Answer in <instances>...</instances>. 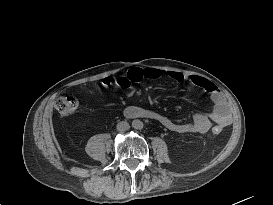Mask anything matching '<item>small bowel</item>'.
Masks as SVG:
<instances>
[{"instance_id": "1", "label": "small bowel", "mask_w": 273, "mask_h": 205, "mask_svg": "<svg viewBox=\"0 0 273 205\" xmlns=\"http://www.w3.org/2000/svg\"><path fill=\"white\" fill-rule=\"evenodd\" d=\"M144 78L157 79L162 75H167L169 78L181 82L187 81L190 84L202 88L210 94L213 101V108L209 112H200L193 116L192 120L187 123H176L166 116L156 112H147L138 106H130L127 108L129 116L136 117L140 112L146 113L149 117L159 121L165 128L177 133H206L214 125L224 127L230 124L231 115L229 105L218 87L208 79L198 75H184L174 71H163L155 68H147L143 70ZM112 86L124 88L126 96L130 97L133 94V88L127 77H107L100 83V88L107 93H110Z\"/></svg>"}]
</instances>
